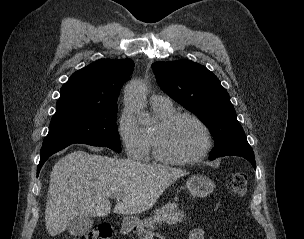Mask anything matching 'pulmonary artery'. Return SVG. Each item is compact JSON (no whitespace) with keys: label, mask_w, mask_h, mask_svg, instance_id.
<instances>
[{"label":"pulmonary artery","mask_w":304,"mask_h":239,"mask_svg":"<svg viewBox=\"0 0 304 239\" xmlns=\"http://www.w3.org/2000/svg\"><path fill=\"white\" fill-rule=\"evenodd\" d=\"M151 103L170 102V99L165 95L154 94L150 98Z\"/></svg>","instance_id":"pulmonary-artery-1"}]
</instances>
